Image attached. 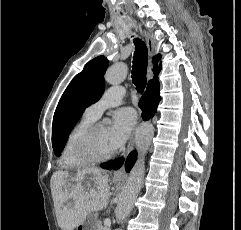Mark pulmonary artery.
Wrapping results in <instances>:
<instances>
[{
    "label": "pulmonary artery",
    "mask_w": 241,
    "mask_h": 230,
    "mask_svg": "<svg viewBox=\"0 0 241 230\" xmlns=\"http://www.w3.org/2000/svg\"><path fill=\"white\" fill-rule=\"evenodd\" d=\"M124 95L125 90L122 87H111L104 92L99 100L89 105L86 108L85 113L97 119L107 108L119 105L122 102Z\"/></svg>",
    "instance_id": "1"
}]
</instances>
